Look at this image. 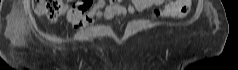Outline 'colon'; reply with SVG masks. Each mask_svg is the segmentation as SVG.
I'll return each instance as SVG.
<instances>
[{
  "instance_id": "5ec220e1",
  "label": "colon",
  "mask_w": 238,
  "mask_h": 70,
  "mask_svg": "<svg viewBox=\"0 0 238 70\" xmlns=\"http://www.w3.org/2000/svg\"><path fill=\"white\" fill-rule=\"evenodd\" d=\"M91 2L90 0H88ZM178 3L174 8L173 17H183L187 14L191 6V0H175ZM173 2V1H172ZM34 12L44 17L49 22H56L58 18L64 13L65 7L62 0H33Z\"/></svg>"
}]
</instances>
